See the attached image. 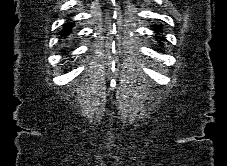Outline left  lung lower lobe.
<instances>
[{"mask_svg":"<svg viewBox=\"0 0 227 166\" xmlns=\"http://www.w3.org/2000/svg\"><path fill=\"white\" fill-rule=\"evenodd\" d=\"M159 30H160V28L156 27L155 31H159Z\"/></svg>","mask_w":227,"mask_h":166,"instance_id":"0a47b994","label":"left lung lower lobe"}]
</instances>
